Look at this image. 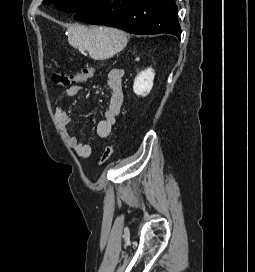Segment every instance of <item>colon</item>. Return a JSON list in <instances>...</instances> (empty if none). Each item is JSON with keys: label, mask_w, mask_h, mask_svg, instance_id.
<instances>
[{"label": "colon", "mask_w": 255, "mask_h": 272, "mask_svg": "<svg viewBox=\"0 0 255 272\" xmlns=\"http://www.w3.org/2000/svg\"><path fill=\"white\" fill-rule=\"evenodd\" d=\"M95 73V68L93 67H84L79 72L66 74L60 71H53L51 75V79L53 83L59 86H69L73 84H78L82 81H85L91 78ZM114 153V146L112 144H108L104 147L100 159L99 164H106L112 157Z\"/></svg>", "instance_id": "5ec220e1"}]
</instances>
